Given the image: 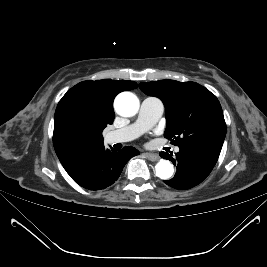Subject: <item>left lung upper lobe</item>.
Segmentation results:
<instances>
[{"label":"left lung upper lobe","instance_id":"obj_1","mask_svg":"<svg viewBox=\"0 0 267 267\" xmlns=\"http://www.w3.org/2000/svg\"><path fill=\"white\" fill-rule=\"evenodd\" d=\"M139 88L162 100L166 108L164 136L182 147H209L221 151L226 124L216 96L195 82L160 80Z\"/></svg>","mask_w":267,"mask_h":267}]
</instances>
